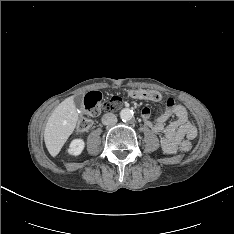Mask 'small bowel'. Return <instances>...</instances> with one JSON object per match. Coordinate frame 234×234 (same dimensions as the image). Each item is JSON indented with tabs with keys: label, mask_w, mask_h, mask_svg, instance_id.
Returning <instances> with one entry per match:
<instances>
[{
	"label": "small bowel",
	"mask_w": 234,
	"mask_h": 234,
	"mask_svg": "<svg viewBox=\"0 0 234 234\" xmlns=\"http://www.w3.org/2000/svg\"><path fill=\"white\" fill-rule=\"evenodd\" d=\"M141 116L146 126L156 134L163 135L161 146L166 153H175L184 138L194 139L197 136V129L189 121L186 108L177 104L173 98L168 99L165 110L154 121L150 120V110L147 107L142 109ZM172 116L174 121L167 123Z\"/></svg>",
	"instance_id": "obj_1"
}]
</instances>
